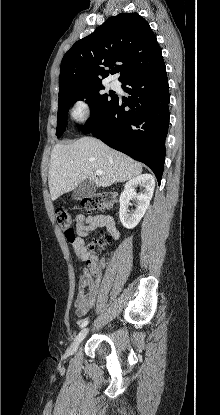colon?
Instances as JSON below:
<instances>
[{"mask_svg":"<svg viewBox=\"0 0 220 415\" xmlns=\"http://www.w3.org/2000/svg\"><path fill=\"white\" fill-rule=\"evenodd\" d=\"M118 204V196L114 192L99 191L83 198L81 205L89 212H104L115 209ZM56 219L58 224L65 229L66 232L74 231L75 222L72 216L66 210L59 209L56 211ZM102 241H92L87 245L88 260L87 270L92 274H97L101 263L96 255L97 251L102 248Z\"/></svg>","mask_w":220,"mask_h":415,"instance_id":"obj_1","label":"colon"}]
</instances>
